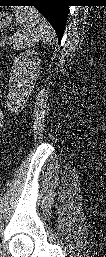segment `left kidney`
<instances>
[{
    "instance_id": "1",
    "label": "left kidney",
    "mask_w": 106,
    "mask_h": 257,
    "mask_svg": "<svg viewBox=\"0 0 106 257\" xmlns=\"http://www.w3.org/2000/svg\"><path fill=\"white\" fill-rule=\"evenodd\" d=\"M36 55L37 52L34 50H26L14 59L9 80L10 89L7 96L9 99L7 107L12 111L15 110L16 112L18 108H23L34 88V81L38 77L41 62Z\"/></svg>"
}]
</instances>
